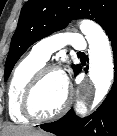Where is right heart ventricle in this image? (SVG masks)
<instances>
[{"mask_svg": "<svg viewBox=\"0 0 117 136\" xmlns=\"http://www.w3.org/2000/svg\"><path fill=\"white\" fill-rule=\"evenodd\" d=\"M45 66V62L29 53L15 67L7 90V107L14 122H27L28 118L21 112L23 92L34 74Z\"/></svg>", "mask_w": 117, "mask_h": 136, "instance_id": "1", "label": "right heart ventricle"}]
</instances>
